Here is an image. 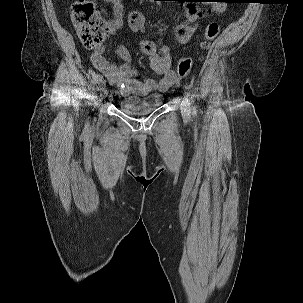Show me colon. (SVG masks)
I'll list each match as a JSON object with an SVG mask.
<instances>
[{
  "mask_svg": "<svg viewBox=\"0 0 303 303\" xmlns=\"http://www.w3.org/2000/svg\"><path fill=\"white\" fill-rule=\"evenodd\" d=\"M71 19L76 27L81 43L87 48L100 46L110 30L109 26L100 15V11L93 0H75L71 6ZM219 24L210 22L205 29L206 41L203 48H208L209 41L214 40L219 34ZM192 65L191 58L183 57L177 66V74L185 76Z\"/></svg>",
  "mask_w": 303,
  "mask_h": 303,
  "instance_id": "1",
  "label": "colon"
}]
</instances>
